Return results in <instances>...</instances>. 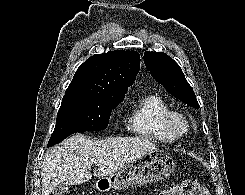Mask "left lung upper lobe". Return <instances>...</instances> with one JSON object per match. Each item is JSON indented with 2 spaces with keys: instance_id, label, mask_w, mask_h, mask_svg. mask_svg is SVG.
Masks as SVG:
<instances>
[{
  "instance_id": "obj_1",
  "label": "left lung upper lobe",
  "mask_w": 245,
  "mask_h": 195,
  "mask_svg": "<svg viewBox=\"0 0 245 195\" xmlns=\"http://www.w3.org/2000/svg\"><path fill=\"white\" fill-rule=\"evenodd\" d=\"M144 63L152 77L177 99L190 107L199 108L195 93L179 65L162 52L146 51Z\"/></svg>"
}]
</instances>
